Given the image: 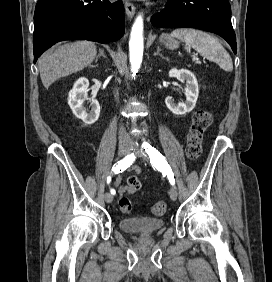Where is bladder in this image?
I'll use <instances>...</instances> for the list:
<instances>
[{
    "mask_svg": "<svg viewBox=\"0 0 272 282\" xmlns=\"http://www.w3.org/2000/svg\"><path fill=\"white\" fill-rule=\"evenodd\" d=\"M119 226L126 232L135 234H153L164 226L162 219L148 217H131L121 219Z\"/></svg>",
    "mask_w": 272,
    "mask_h": 282,
    "instance_id": "31cf9c89",
    "label": "bladder"
}]
</instances>
